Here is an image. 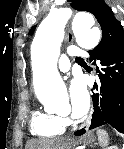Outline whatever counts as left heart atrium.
I'll return each instance as SVG.
<instances>
[{"instance_id":"1","label":"left heart atrium","mask_w":124,"mask_h":149,"mask_svg":"<svg viewBox=\"0 0 124 149\" xmlns=\"http://www.w3.org/2000/svg\"><path fill=\"white\" fill-rule=\"evenodd\" d=\"M71 112L74 118H80L89 109L90 96L84 80L75 78L69 88Z\"/></svg>"}]
</instances>
